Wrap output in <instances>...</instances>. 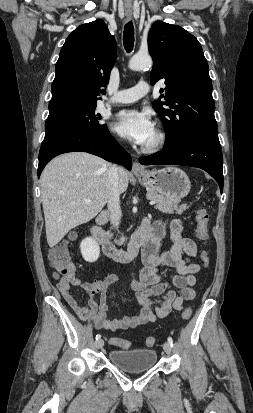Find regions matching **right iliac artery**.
I'll return each mask as SVG.
<instances>
[{
  "label": "right iliac artery",
  "instance_id": "1",
  "mask_svg": "<svg viewBox=\"0 0 253 413\" xmlns=\"http://www.w3.org/2000/svg\"><path fill=\"white\" fill-rule=\"evenodd\" d=\"M95 338H96V340H98V339L101 338V335H100V334H97Z\"/></svg>",
  "mask_w": 253,
  "mask_h": 413
}]
</instances>
